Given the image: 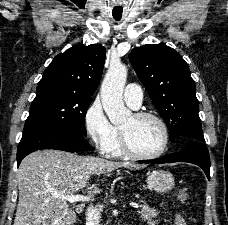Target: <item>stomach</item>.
Listing matches in <instances>:
<instances>
[{
    "mask_svg": "<svg viewBox=\"0 0 228 225\" xmlns=\"http://www.w3.org/2000/svg\"><path fill=\"white\" fill-rule=\"evenodd\" d=\"M147 187L156 193H169L174 189L175 179L168 171H151L146 179Z\"/></svg>",
    "mask_w": 228,
    "mask_h": 225,
    "instance_id": "stomach-1",
    "label": "stomach"
}]
</instances>
